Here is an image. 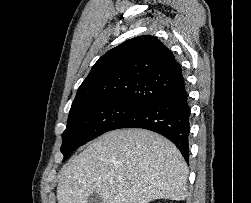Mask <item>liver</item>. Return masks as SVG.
<instances>
[{
  "label": "liver",
  "mask_w": 251,
  "mask_h": 203,
  "mask_svg": "<svg viewBox=\"0 0 251 203\" xmlns=\"http://www.w3.org/2000/svg\"><path fill=\"white\" fill-rule=\"evenodd\" d=\"M189 170L176 146L144 129L105 133L62 168L58 203H87L98 193L103 203L184 200Z\"/></svg>",
  "instance_id": "1"
}]
</instances>
